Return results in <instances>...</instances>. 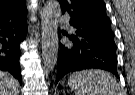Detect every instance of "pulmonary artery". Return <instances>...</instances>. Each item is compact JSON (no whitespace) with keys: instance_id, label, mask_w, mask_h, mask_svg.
<instances>
[{"instance_id":"1","label":"pulmonary artery","mask_w":135,"mask_h":95,"mask_svg":"<svg viewBox=\"0 0 135 95\" xmlns=\"http://www.w3.org/2000/svg\"><path fill=\"white\" fill-rule=\"evenodd\" d=\"M61 22L64 23V24L68 23L67 20H65V19H61Z\"/></svg>"}]
</instances>
